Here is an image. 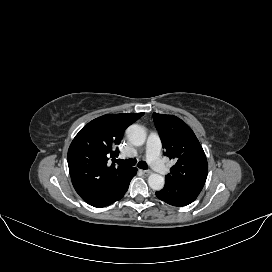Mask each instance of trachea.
<instances>
[{"instance_id": "3493384b", "label": "trachea", "mask_w": 272, "mask_h": 272, "mask_svg": "<svg viewBox=\"0 0 272 272\" xmlns=\"http://www.w3.org/2000/svg\"><path fill=\"white\" fill-rule=\"evenodd\" d=\"M115 162L119 165L125 166V167H131L136 164V160L134 159H115ZM138 167L141 169L146 170L148 168L147 164L144 161H139L138 162Z\"/></svg>"}]
</instances>
